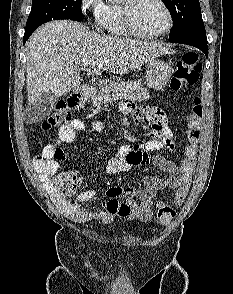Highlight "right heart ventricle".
Returning a JSON list of instances; mask_svg holds the SVG:
<instances>
[{"label":"right heart ventricle","instance_id":"right-heart-ventricle-1","mask_svg":"<svg viewBox=\"0 0 233 294\" xmlns=\"http://www.w3.org/2000/svg\"><path fill=\"white\" fill-rule=\"evenodd\" d=\"M101 27L105 29L107 33L113 36H132L125 25L123 15V3L110 4L107 6L105 15L102 19Z\"/></svg>","mask_w":233,"mask_h":294}]
</instances>
